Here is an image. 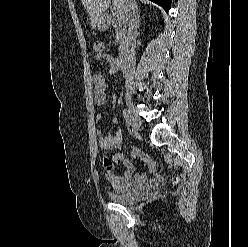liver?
Returning a JSON list of instances; mask_svg holds the SVG:
<instances>
[{"label":"liver","mask_w":248,"mask_h":247,"mask_svg":"<svg viewBox=\"0 0 248 247\" xmlns=\"http://www.w3.org/2000/svg\"><path fill=\"white\" fill-rule=\"evenodd\" d=\"M111 1L115 10L119 14H124V0H81L89 15L92 28H95L98 21L104 17V12Z\"/></svg>","instance_id":"6515ba94"}]
</instances>
